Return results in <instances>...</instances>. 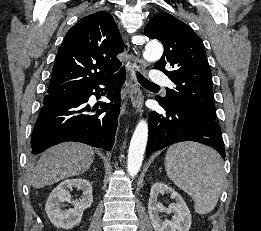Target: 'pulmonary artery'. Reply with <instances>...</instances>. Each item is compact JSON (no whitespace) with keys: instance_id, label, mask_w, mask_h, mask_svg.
<instances>
[{"instance_id":"e3ab8cb5","label":"pulmonary artery","mask_w":261,"mask_h":231,"mask_svg":"<svg viewBox=\"0 0 261 231\" xmlns=\"http://www.w3.org/2000/svg\"><path fill=\"white\" fill-rule=\"evenodd\" d=\"M150 81L156 85L172 86V83L169 81L168 77L158 70H152Z\"/></svg>"}]
</instances>
